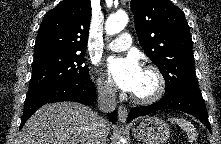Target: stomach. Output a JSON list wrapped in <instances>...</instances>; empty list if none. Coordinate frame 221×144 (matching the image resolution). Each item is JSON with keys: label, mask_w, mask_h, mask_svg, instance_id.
<instances>
[{"label": "stomach", "mask_w": 221, "mask_h": 144, "mask_svg": "<svg viewBox=\"0 0 221 144\" xmlns=\"http://www.w3.org/2000/svg\"><path fill=\"white\" fill-rule=\"evenodd\" d=\"M132 135L145 144H164L169 138L170 129L163 119L151 116L134 126Z\"/></svg>", "instance_id": "obj_1"}]
</instances>
